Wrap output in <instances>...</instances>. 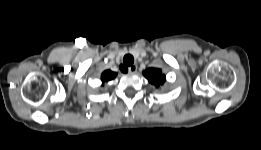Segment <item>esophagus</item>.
Returning <instances> with one entry per match:
<instances>
[{
	"instance_id": "34e87169",
	"label": "esophagus",
	"mask_w": 261,
	"mask_h": 150,
	"mask_svg": "<svg viewBox=\"0 0 261 150\" xmlns=\"http://www.w3.org/2000/svg\"><path fill=\"white\" fill-rule=\"evenodd\" d=\"M129 72L130 73H135L137 71V65H131L129 68H128Z\"/></svg>"
}]
</instances>
